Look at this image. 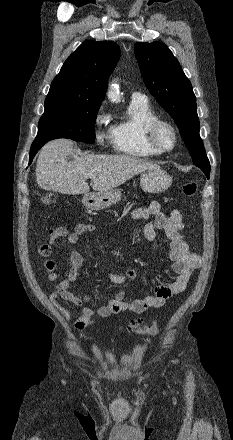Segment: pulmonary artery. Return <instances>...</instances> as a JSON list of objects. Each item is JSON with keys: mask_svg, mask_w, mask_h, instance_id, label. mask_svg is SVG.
Returning <instances> with one entry per match:
<instances>
[{"mask_svg": "<svg viewBox=\"0 0 233 440\" xmlns=\"http://www.w3.org/2000/svg\"><path fill=\"white\" fill-rule=\"evenodd\" d=\"M131 98H132V100L147 101V97L144 94L140 93V92L132 93Z\"/></svg>", "mask_w": 233, "mask_h": 440, "instance_id": "pulmonary-artery-1", "label": "pulmonary artery"}]
</instances>
